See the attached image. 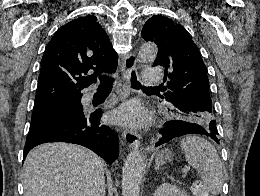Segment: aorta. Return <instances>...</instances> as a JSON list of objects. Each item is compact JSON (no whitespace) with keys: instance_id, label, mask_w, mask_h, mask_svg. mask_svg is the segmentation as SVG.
Returning <instances> with one entry per match:
<instances>
[{"instance_id":"1","label":"aorta","mask_w":260,"mask_h":196,"mask_svg":"<svg viewBox=\"0 0 260 196\" xmlns=\"http://www.w3.org/2000/svg\"><path fill=\"white\" fill-rule=\"evenodd\" d=\"M158 49L153 43H145L139 51V57L144 62L154 61ZM147 166V159L135 148L127 156L122 171V195L139 196L140 185Z\"/></svg>"}]
</instances>
